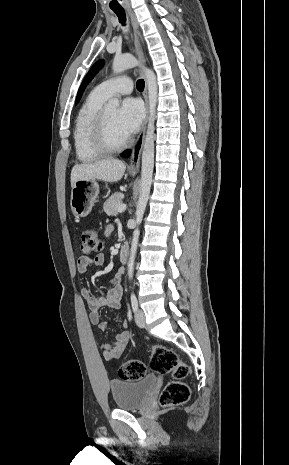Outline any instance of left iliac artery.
<instances>
[{"label": "left iliac artery", "mask_w": 289, "mask_h": 465, "mask_svg": "<svg viewBox=\"0 0 289 465\" xmlns=\"http://www.w3.org/2000/svg\"><path fill=\"white\" fill-rule=\"evenodd\" d=\"M131 305L133 311L135 312L138 309V301L134 293L131 294Z\"/></svg>", "instance_id": "1"}]
</instances>
